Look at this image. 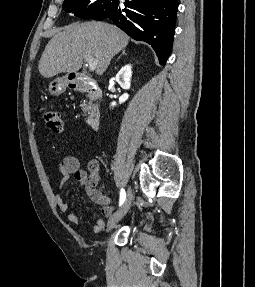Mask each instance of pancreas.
<instances>
[{"instance_id": "cf45deb5", "label": "pancreas", "mask_w": 255, "mask_h": 287, "mask_svg": "<svg viewBox=\"0 0 255 287\" xmlns=\"http://www.w3.org/2000/svg\"><path fill=\"white\" fill-rule=\"evenodd\" d=\"M88 104H91V102H88ZM87 102H84V104H81L80 108L82 110V112H84V114H86V112H89L90 110V106H88Z\"/></svg>"}]
</instances>
